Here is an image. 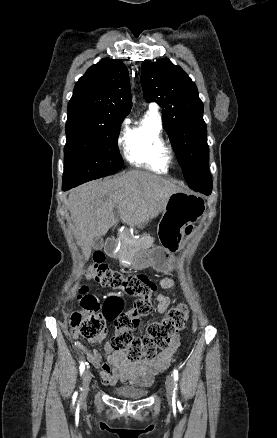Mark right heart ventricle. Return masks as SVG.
Masks as SVG:
<instances>
[{"instance_id": "1", "label": "right heart ventricle", "mask_w": 277, "mask_h": 438, "mask_svg": "<svg viewBox=\"0 0 277 438\" xmlns=\"http://www.w3.org/2000/svg\"><path fill=\"white\" fill-rule=\"evenodd\" d=\"M123 146L129 163L161 174L168 172V164L162 158L167 143L158 116L148 114L138 125L130 127L124 136Z\"/></svg>"}]
</instances>
